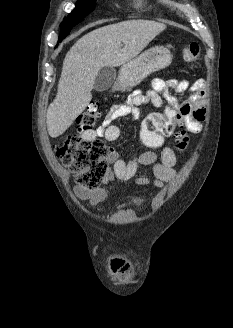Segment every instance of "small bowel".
Here are the masks:
<instances>
[{"label":"small bowel","mask_w":233,"mask_h":328,"mask_svg":"<svg viewBox=\"0 0 233 328\" xmlns=\"http://www.w3.org/2000/svg\"><path fill=\"white\" fill-rule=\"evenodd\" d=\"M169 89L179 93L188 91L191 95L184 103L179 104L169 94ZM204 96L205 81L203 79L190 84L187 80L156 78L152 81L149 90L145 92L135 90L124 103L113 105L102 124L95 130L84 131L81 137L85 140H95L98 137H103L107 141H115L121 134L120 128L112 124L115 119L130 116L132 119L137 120L140 118L141 106L150 104L159 108L164 102L170 104L171 110H176L181 114L188 131L199 133L202 130V122L205 119ZM107 159L109 163L113 164V169L107 171L105 184L136 177V183L139 185H148L152 182L156 187L160 188L165 183L173 180L176 175L174 170L176 155L169 146H164L159 155L153 151H144L128 162L120 159L115 150H110ZM141 166L151 168L152 179L146 176H137ZM74 193L77 198L87 201L92 206L105 201L108 197L107 191L103 188L89 191L81 186H77L74 188ZM110 267L115 277L119 280H127L132 271L130 260L121 254L111 257Z\"/></svg>","instance_id":"c3829d8e"}]
</instances>
